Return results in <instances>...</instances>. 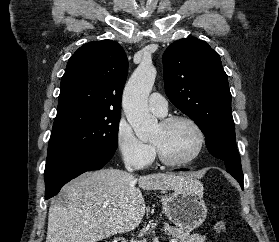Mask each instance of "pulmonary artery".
<instances>
[{
    "mask_svg": "<svg viewBox=\"0 0 279 242\" xmlns=\"http://www.w3.org/2000/svg\"><path fill=\"white\" fill-rule=\"evenodd\" d=\"M149 109L159 117L166 115L168 110V103L166 98L160 93H152L148 100Z\"/></svg>",
    "mask_w": 279,
    "mask_h": 242,
    "instance_id": "obj_1",
    "label": "pulmonary artery"
}]
</instances>
